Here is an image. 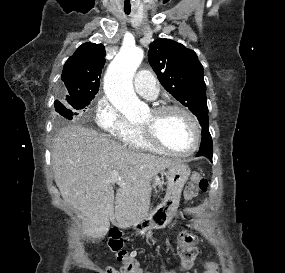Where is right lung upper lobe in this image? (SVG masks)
<instances>
[{
    "instance_id": "1",
    "label": "right lung upper lobe",
    "mask_w": 285,
    "mask_h": 273,
    "mask_svg": "<svg viewBox=\"0 0 285 273\" xmlns=\"http://www.w3.org/2000/svg\"><path fill=\"white\" fill-rule=\"evenodd\" d=\"M105 47L102 44L84 43L66 61L62 81L69 98H88L99 90L100 75L105 63Z\"/></svg>"
}]
</instances>
